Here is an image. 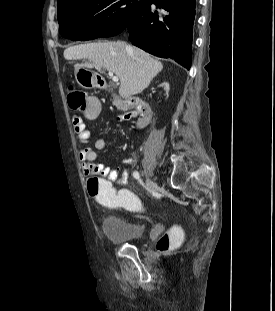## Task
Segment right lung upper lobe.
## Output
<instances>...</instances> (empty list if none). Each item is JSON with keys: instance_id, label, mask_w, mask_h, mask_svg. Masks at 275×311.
<instances>
[{"instance_id": "obj_1", "label": "right lung upper lobe", "mask_w": 275, "mask_h": 311, "mask_svg": "<svg viewBox=\"0 0 275 311\" xmlns=\"http://www.w3.org/2000/svg\"><path fill=\"white\" fill-rule=\"evenodd\" d=\"M67 1H70V0H58V5L64 3V2H67Z\"/></svg>"}]
</instances>
